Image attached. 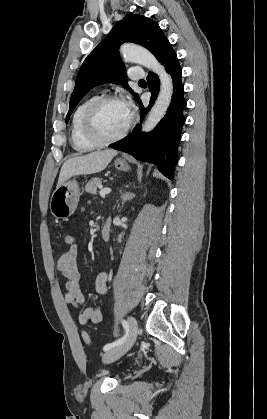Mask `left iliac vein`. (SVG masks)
I'll use <instances>...</instances> for the list:
<instances>
[{"instance_id": "4c4485c4", "label": "left iliac vein", "mask_w": 267, "mask_h": 419, "mask_svg": "<svg viewBox=\"0 0 267 419\" xmlns=\"http://www.w3.org/2000/svg\"><path fill=\"white\" fill-rule=\"evenodd\" d=\"M128 324H129V332L126 339L120 345L105 352V354L103 355V361L105 363H111V362L116 361L121 356H123L128 350H130L133 344L135 343L137 335H138L137 321L135 320L134 317L129 316Z\"/></svg>"}]
</instances>
